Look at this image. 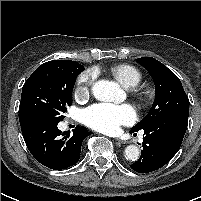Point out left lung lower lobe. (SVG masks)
Segmentation results:
<instances>
[{"label": "left lung lower lobe", "mask_w": 201, "mask_h": 201, "mask_svg": "<svg viewBox=\"0 0 201 201\" xmlns=\"http://www.w3.org/2000/svg\"><path fill=\"white\" fill-rule=\"evenodd\" d=\"M187 125L188 117L175 115L145 127L141 156L131 168L138 173H149L167 164L178 152Z\"/></svg>", "instance_id": "obj_1"}]
</instances>
